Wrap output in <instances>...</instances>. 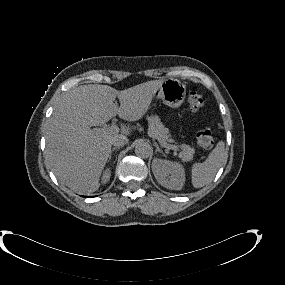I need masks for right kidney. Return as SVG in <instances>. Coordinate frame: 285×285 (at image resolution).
I'll return each mask as SVG.
<instances>
[{
  "instance_id": "1",
  "label": "right kidney",
  "mask_w": 285,
  "mask_h": 285,
  "mask_svg": "<svg viewBox=\"0 0 285 285\" xmlns=\"http://www.w3.org/2000/svg\"><path fill=\"white\" fill-rule=\"evenodd\" d=\"M111 177V170L109 168H107L104 172H103V176H102V184H106Z\"/></svg>"
}]
</instances>
